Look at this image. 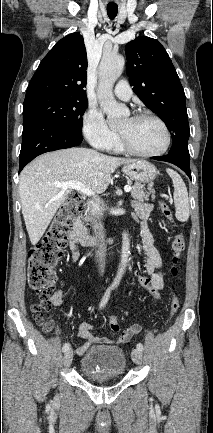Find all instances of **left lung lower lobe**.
<instances>
[{
	"label": "left lung lower lobe",
	"instance_id": "0a47b994",
	"mask_svg": "<svg viewBox=\"0 0 213 433\" xmlns=\"http://www.w3.org/2000/svg\"><path fill=\"white\" fill-rule=\"evenodd\" d=\"M152 159L172 163L182 169L191 179L190 158H186L176 154H168L160 157H152Z\"/></svg>",
	"mask_w": 213,
	"mask_h": 433
}]
</instances>
